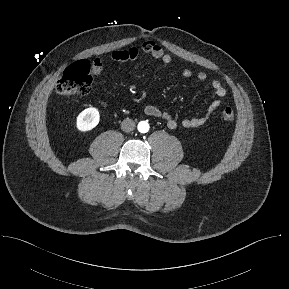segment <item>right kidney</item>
I'll list each match as a JSON object with an SVG mask.
<instances>
[{
    "label": "right kidney",
    "instance_id": "1",
    "mask_svg": "<svg viewBox=\"0 0 289 289\" xmlns=\"http://www.w3.org/2000/svg\"><path fill=\"white\" fill-rule=\"evenodd\" d=\"M100 120L99 111L90 107L83 110L77 117L76 127L81 132H87L95 128Z\"/></svg>",
    "mask_w": 289,
    "mask_h": 289
}]
</instances>
